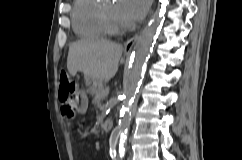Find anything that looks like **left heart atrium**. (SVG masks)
Instances as JSON below:
<instances>
[{
	"label": "left heart atrium",
	"mask_w": 242,
	"mask_h": 160,
	"mask_svg": "<svg viewBox=\"0 0 242 160\" xmlns=\"http://www.w3.org/2000/svg\"><path fill=\"white\" fill-rule=\"evenodd\" d=\"M150 0H119L116 11L125 26L133 24L144 17Z\"/></svg>",
	"instance_id": "left-heart-atrium-1"
}]
</instances>
